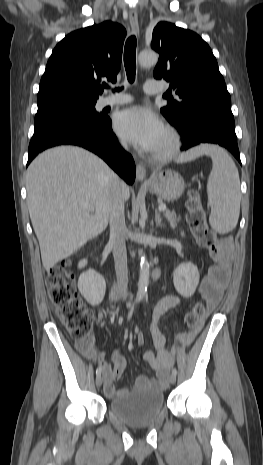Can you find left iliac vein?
Instances as JSON below:
<instances>
[{"label":"left iliac vein","instance_id":"4c4485c4","mask_svg":"<svg viewBox=\"0 0 263 465\" xmlns=\"http://www.w3.org/2000/svg\"><path fill=\"white\" fill-rule=\"evenodd\" d=\"M169 382H170L171 384H175V382H176V375L171 374L170 377H169Z\"/></svg>","mask_w":263,"mask_h":465}]
</instances>
